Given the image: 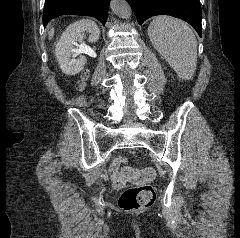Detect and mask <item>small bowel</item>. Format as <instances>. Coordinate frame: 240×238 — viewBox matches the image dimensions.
Listing matches in <instances>:
<instances>
[{
	"mask_svg": "<svg viewBox=\"0 0 240 238\" xmlns=\"http://www.w3.org/2000/svg\"><path fill=\"white\" fill-rule=\"evenodd\" d=\"M127 159L124 157H117L113 163L110 166V174H111V179L115 181V183L110 182L109 186L110 187H128L129 183L128 182H123L121 172H120V166L122 164H127Z\"/></svg>",
	"mask_w": 240,
	"mask_h": 238,
	"instance_id": "small-bowel-1",
	"label": "small bowel"
}]
</instances>
